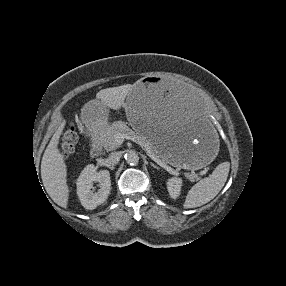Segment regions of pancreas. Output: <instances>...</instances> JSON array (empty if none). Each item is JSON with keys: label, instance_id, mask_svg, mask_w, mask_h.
I'll list each match as a JSON object with an SVG mask.
<instances>
[{"label": "pancreas", "instance_id": "1", "mask_svg": "<svg viewBox=\"0 0 286 286\" xmlns=\"http://www.w3.org/2000/svg\"><path fill=\"white\" fill-rule=\"evenodd\" d=\"M118 134H127L133 137L135 140L140 142L146 149L150 150L151 153L160 158V156L155 152V149L151 142L147 140L144 135L133 131L123 121L114 122L99 131V140L105 150L112 151L120 147V144L116 142V136ZM163 161L165 160L163 159ZM187 178L192 182L197 181L199 179V177L195 173L187 174Z\"/></svg>", "mask_w": 286, "mask_h": 286}]
</instances>
